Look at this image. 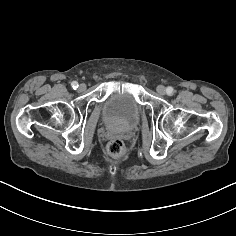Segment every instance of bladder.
<instances>
[{
    "label": "bladder",
    "mask_w": 236,
    "mask_h": 236,
    "mask_svg": "<svg viewBox=\"0 0 236 236\" xmlns=\"http://www.w3.org/2000/svg\"><path fill=\"white\" fill-rule=\"evenodd\" d=\"M140 117V108L130 89L114 90L106 99L102 119L109 125L122 129L135 126Z\"/></svg>",
    "instance_id": "1"
}]
</instances>
